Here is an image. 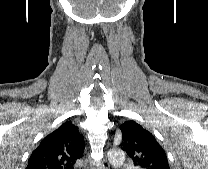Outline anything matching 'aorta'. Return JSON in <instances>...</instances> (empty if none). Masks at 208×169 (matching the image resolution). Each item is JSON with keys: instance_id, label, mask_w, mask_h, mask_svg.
<instances>
[{"instance_id": "aorta-1", "label": "aorta", "mask_w": 208, "mask_h": 169, "mask_svg": "<svg viewBox=\"0 0 208 169\" xmlns=\"http://www.w3.org/2000/svg\"><path fill=\"white\" fill-rule=\"evenodd\" d=\"M108 157L113 165H121L124 161V153L119 149L110 150Z\"/></svg>"}]
</instances>
